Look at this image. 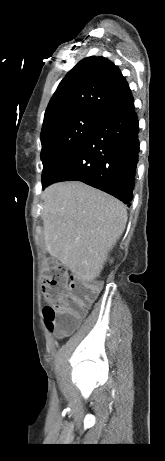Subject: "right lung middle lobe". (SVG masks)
Returning a JSON list of instances; mask_svg holds the SVG:
<instances>
[{
	"mask_svg": "<svg viewBox=\"0 0 165 461\" xmlns=\"http://www.w3.org/2000/svg\"><path fill=\"white\" fill-rule=\"evenodd\" d=\"M101 121L102 119L89 115L58 119L41 131L42 186Z\"/></svg>",
	"mask_w": 165,
	"mask_h": 461,
	"instance_id": "1",
	"label": "right lung middle lobe"
}]
</instances>
